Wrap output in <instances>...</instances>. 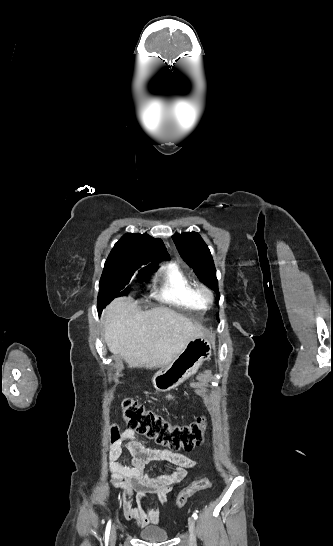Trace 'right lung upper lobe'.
<instances>
[{
	"instance_id": "obj_1",
	"label": "right lung upper lobe",
	"mask_w": 333,
	"mask_h": 546,
	"mask_svg": "<svg viewBox=\"0 0 333 546\" xmlns=\"http://www.w3.org/2000/svg\"><path fill=\"white\" fill-rule=\"evenodd\" d=\"M157 258V259H156ZM107 260L123 263L127 270L146 272L157 269V261L169 260L161 239L148 234L126 233L114 245Z\"/></svg>"
}]
</instances>
